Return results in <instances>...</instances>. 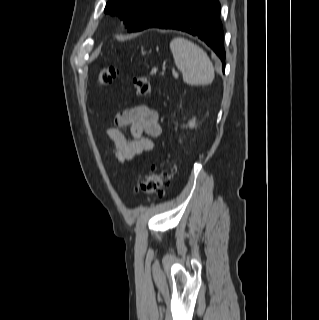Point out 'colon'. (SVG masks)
<instances>
[{
	"mask_svg": "<svg viewBox=\"0 0 319 320\" xmlns=\"http://www.w3.org/2000/svg\"><path fill=\"white\" fill-rule=\"evenodd\" d=\"M118 71L113 66H106L102 68L98 74V84L100 86H107L111 84L117 77ZM133 86L140 96H147L151 92V84L146 76H136L132 79ZM174 169L157 170L152 169L135 185V192L142 194H157L159 196L165 195V189L169 186Z\"/></svg>",
	"mask_w": 319,
	"mask_h": 320,
	"instance_id": "colon-1",
	"label": "colon"
}]
</instances>
